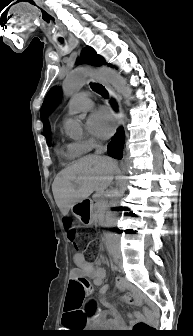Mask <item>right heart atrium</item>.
Instances as JSON below:
<instances>
[{
	"label": "right heart atrium",
	"mask_w": 193,
	"mask_h": 336,
	"mask_svg": "<svg viewBox=\"0 0 193 336\" xmlns=\"http://www.w3.org/2000/svg\"><path fill=\"white\" fill-rule=\"evenodd\" d=\"M75 143H77V145L79 146V148L81 149L83 153H86L94 148L96 141L89 138V139H85V140L78 141Z\"/></svg>",
	"instance_id": "obj_1"
}]
</instances>
